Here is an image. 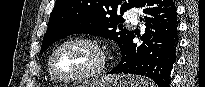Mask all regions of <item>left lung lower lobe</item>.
Returning <instances> with one entry per match:
<instances>
[{"label": "left lung lower lobe", "mask_w": 205, "mask_h": 87, "mask_svg": "<svg viewBox=\"0 0 205 87\" xmlns=\"http://www.w3.org/2000/svg\"><path fill=\"white\" fill-rule=\"evenodd\" d=\"M135 7L145 14L140 19L146 25L143 43H133V34L122 50L121 62L110 73L137 74L149 77L159 87H169L179 40L176 6L172 0H139Z\"/></svg>", "instance_id": "1"}]
</instances>
